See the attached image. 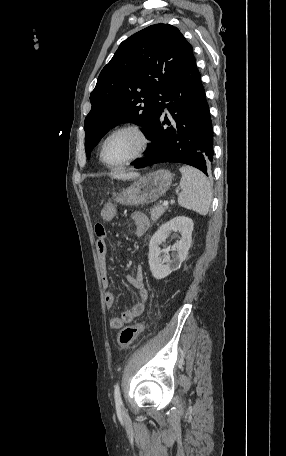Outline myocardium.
Instances as JSON below:
<instances>
[{
    "label": "myocardium",
    "mask_w": 286,
    "mask_h": 456,
    "mask_svg": "<svg viewBox=\"0 0 286 456\" xmlns=\"http://www.w3.org/2000/svg\"><path fill=\"white\" fill-rule=\"evenodd\" d=\"M122 131L135 132L141 140V145H140L138 152L133 157H131L128 160H126L122 163H119V164H111V163L107 162L104 157L105 147H106L107 142L109 141V139L112 136H114L115 134L122 132ZM149 146H150V137L142 126H140L138 124H134V123L124 124V125H121V126L115 128L113 131H111L106 136V138L104 139L102 146H101L100 159L103 162V164L106 165L107 167L112 168V169H119V168L125 167V166L135 162L136 160L140 159L141 157H143L144 154L147 152Z\"/></svg>",
    "instance_id": "1"
}]
</instances>
